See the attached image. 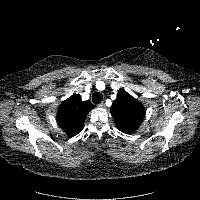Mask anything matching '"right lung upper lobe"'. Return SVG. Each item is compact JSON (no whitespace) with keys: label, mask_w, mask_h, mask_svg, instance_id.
<instances>
[{"label":"right lung upper lobe","mask_w":200,"mask_h":200,"mask_svg":"<svg viewBox=\"0 0 200 200\" xmlns=\"http://www.w3.org/2000/svg\"><path fill=\"white\" fill-rule=\"evenodd\" d=\"M92 108L90 101H82L78 94H73L59 107L58 124L68 136L73 137L83 129L86 116Z\"/></svg>","instance_id":"obj_1"}]
</instances>
